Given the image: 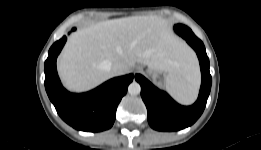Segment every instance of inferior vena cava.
Returning a JSON list of instances; mask_svg holds the SVG:
<instances>
[{"instance_id":"inferior-vena-cava-1","label":"inferior vena cava","mask_w":261,"mask_h":150,"mask_svg":"<svg viewBox=\"0 0 261 150\" xmlns=\"http://www.w3.org/2000/svg\"><path fill=\"white\" fill-rule=\"evenodd\" d=\"M110 71L113 75L118 76L126 73L127 66L121 62L114 63L110 66Z\"/></svg>"}]
</instances>
